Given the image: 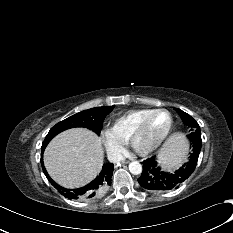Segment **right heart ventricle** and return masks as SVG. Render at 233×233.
<instances>
[{
  "label": "right heart ventricle",
  "instance_id": "right-heart-ventricle-1",
  "mask_svg": "<svg viewBox=\"0 0 233 233\" xmlns=\"http://www.w3.org/2000/svg\"><path fill=\"white\" fill-rule=\"evenodd\" d=\"M151 110L150 108H140L127 111L113 121L108 133L122 145L128 144L139 121Z\"/></svg>",
  "mask_w": 233,
  "mask_h": 233
}]
</instances>
